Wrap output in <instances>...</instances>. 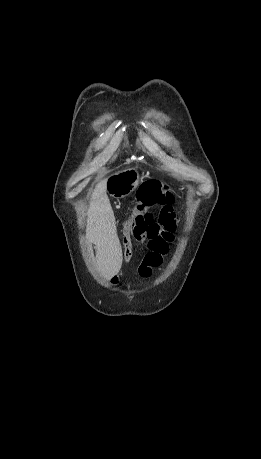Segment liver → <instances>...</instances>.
<instances>
[{"label":"liver","mask_w":261,"mask_h":459,"mask_svg":"<svg viewBox=\"0 0 261 459\" xmlns=\"http://www.w3.org/2000/svg\"><path fill=\"white\" fill-rule=\"evenodd\" d=\"M106 193L104 179L98 183L90 199L86 236L95 245L98 269L109 279L120 271L123 257Z\"/></svg>","instance_id":"liver-1"}]
</instances>
